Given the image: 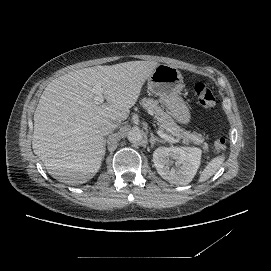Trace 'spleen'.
<instances>
[{"label":"spleen","instance_id":"obj_1","mask_svg":"<svg viewBox=\"0 0 271 271\" xmlns=\"http://www.w3.org/2000/svg\"><path fill=\"white\" fill-rule=\"evenodd\" d=\"M226 160V155H216L207 162L204 168L200 171V175L198 177L197 183L201 184L206 182L211 176H213L224 164Z\"/></svg>","mask_w":271,"mask_h":271}]
</instances>
